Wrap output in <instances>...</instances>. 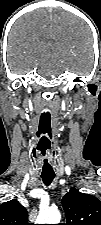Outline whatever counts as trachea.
<instances>
[{"instance_id": "trachea-1", "label": "trachea", "mask_w": 101, "mask_h": 225, "mask_svg": "<svg viewBox=\"0 0 101 225\" xmlns=\"http://www.w3.org/2000/svg\"><path fill=\"white\" fill-rule=\"evenodd\" d=\"M41 177H42L44 184L46 186H49L52 183L53 179L55 178V175L41 176Z\"/></svg>"}]
</instances>
